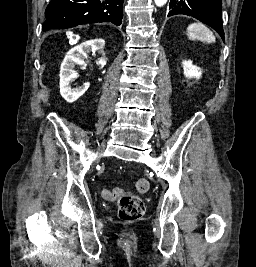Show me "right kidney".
I'll return each mask as SVG.
<instances>
[{
    "label": "right kidney",
    "mask_w": 256,
    "mask_h": 267,
    "mask_svg": "<svg viewBox=\"0 0 256 267\" xmlns=\"http://www.w3.org/2000/svg\"><path fill=\"white\" fill-rule=\"evenodd\" d=\"M104 48L105 40L98 38V40H87V42H83L80 46H74V48H71L67 52V56H65L60 68V94L69 104L76 102L80 96L85 94L90 86L89 82H85L83 86H78V88H73L72 90L71 84L77 78V74L73 68H75L76 64L84 66L85 62L83 58H87L89 52H100L102 58H99L97 64L105 66L106 58Z\"/></svg>",
    "instance_id": "ca27d5eb"
}]
</instances>
